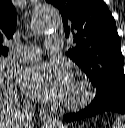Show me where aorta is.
I'll return each mask as SVG.
<instances>
[{
  "label": "aorta",
  "instance_id": "obj_1",
  "mask_svg": "<svg viewBox=\"0 0 125 128\" xmlns=\"http://www.w3.org/2000/svg\"><path fill=\"white\" fill-rule=\"evenodd\" d=\"M61 23L58 10L51 5H44L37 9L32 22L34 31L38 34L55 31ZM42 128H61V122L56 119L49 120Z\"/></svg>",
  "mask_w": 125,
  "mask_h": 128
}]
</instances>
